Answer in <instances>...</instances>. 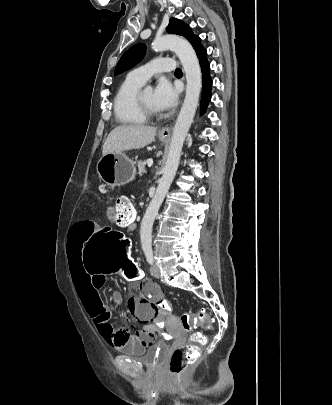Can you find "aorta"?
Here are the masks:
<instances>
[{
	"label": "aorta",
	"instance_id": "762f6f07",
	"mask_svg": "<svg viewBox=\"0 0 332 405\" xmlns=\"http://www.w3.org/2000/svg\"><path fill=\"white\" fill-rule=\"evenodd\" d=\"M152 49L156 52L170 49L178 56L185 71L187 85L184 102L173 128L163 174L141 223L140 239L143 247L151 246L153 223L176 175L183 143L193 122L202 88L199 61L188 41L175 35H165L153 40Z\"/></svg>",
	"mask_w": 332,
	"mask_h": 405
}]
</instances>
